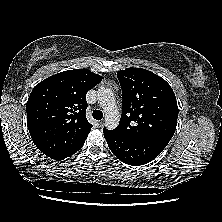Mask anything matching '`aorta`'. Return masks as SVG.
I'll return each mask as SVG.
<instances>
[{
  "label": "aorta",
  "instance_id": "762f6f07",
  "mask_svg": "<svg viewBox=\"0 0 222 222\" xmlns=\"http://www.w3.org/2000/svg\"><path fill=\"white\" fill-rule=\"evenodd\" d=\"M97 99L105 113L106 128L115 129L119 124L120 115L112 91L109 88L100 87L97 90Z\"/></svg>",
  "mask_w": 222,
  "mask_h": 222
}]
</instances>
